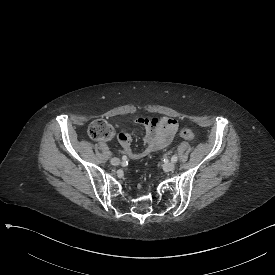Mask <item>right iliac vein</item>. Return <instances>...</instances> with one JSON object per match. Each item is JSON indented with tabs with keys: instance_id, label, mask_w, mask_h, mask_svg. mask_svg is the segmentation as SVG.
<instances>
[{
	"instance_id": "63e3f726",
	"label": "right iliac vein",
	"mask_w": 275,
	"mask_h": 275,
	"mask_svg": "<svg viewBox=\"0 0 275 275\" xmlns=\"http://www.w3.org/2000/svg\"><path fill=\"white\" fill-rule=\"evenodd\" d=\"M120 163H121V161L119 158L114 157L111 159V164H113L115 166L119 165Z\"/></svg>"
}]
</instances>
